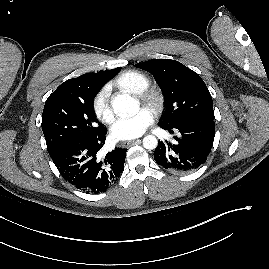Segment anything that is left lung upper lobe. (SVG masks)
<instances>
[{
  "label": "left lung upper lobe",
  "mask_w": 269,
  "mask_h": 269,
  "mask_svg": "<svg viewBox=\"0 0 269 269\" xmlns=\"http://www.w3.org/2000/svg\"><path fill=\"white\" fill-rule=\"evenodd\" d=\"M153 74L165 97L164 125L188 119L214 120L212 97L201 77L182 63L153 59L135 65Z\"/></svg>",
  "instance_id": "5c2ea615"
}]
</instances>
